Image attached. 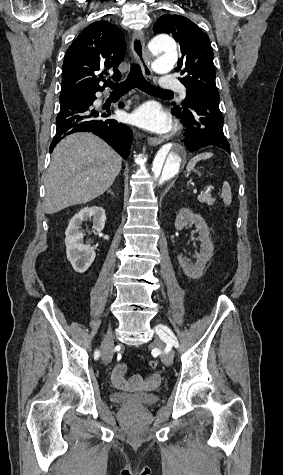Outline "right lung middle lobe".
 Masks as SVG:
<instances>
[{"mask_svg":"<svg viewBox=\"0 0 283 475\" xmlns=\"http://www.w3.org/2000/svg\"><path fill=\"white\" fill-rule=\"evenodd\" d=\"M86 93H90V92H83V91H79V90L72 89V88L61 89L60 101L64 100V99L71 98L73 96L86 94Z\"/></svg>","mask_w":283,"mask_h":475,"instance_id":"obj_1","label":"right lung middle lobe"}]
</instances>
